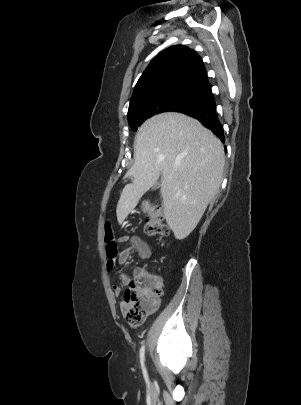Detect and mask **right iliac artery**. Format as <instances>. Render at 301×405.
Segmentation results:
<instances>
[{
	"instance_id": "1",
	"label": "right iliac artery",
	"mask_w": 301,
	"mask_h": 405,
	"mask_svg": "<svg viewBox=\"0 0 301 405\" xmlns=\"http://www.w3.org/2000/svg\"><path fill=\"white\" fill-rule=\"evenodd\" d=\"M145 345L143 344L140 348V361H141V365H142V369L144 374L146 375V370H145V366H144V360H145Z\"/></svg>"
}]
</instances>
